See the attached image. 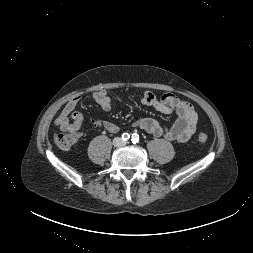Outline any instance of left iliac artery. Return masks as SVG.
<instances>
[{
	"label": "left iliac artery",
	"instance_id": "44dca946",
	"mask_svg": "<svg viewBox=\"0 0 253 253\" xmlns=\"http://www.w3.org/2000/svg\"><path fill=\"white\" fill-rule=\"evenodd\" d=\"M131 141L135 144L139 141V135L137 133L132 134Z\"/></svg>",
	"mask_w": 253,
	"mask_h": 253
}]
</instances>
